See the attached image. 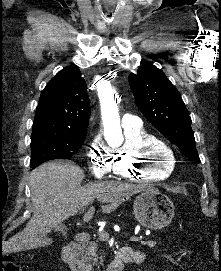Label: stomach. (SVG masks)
<instances>
[{
    "label": "stomach",
    "mask_w": 221,
    "mask_h": 271,
    "mask_svg": "<svg viewBox=\"0 0 221 271\" xmlns=\"http://www.w3.org/2000/svg\"><path fill=\"white\" fill-rule=\"evenodd\" d=\"M133 211L137 221L149 229H162L174 217L173 201L160 191H141L134 199Z\"/></svg>",
    "instance_id": "stomach-1"
}]
</instances>
